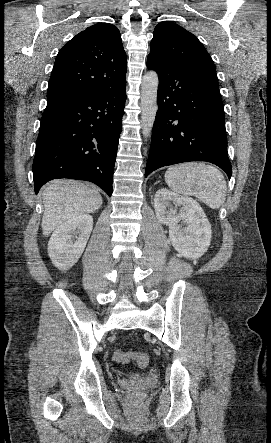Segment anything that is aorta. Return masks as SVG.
<instances>
[{"mask_svg": "<svg viewBox=\"0 0 271 443\" xmlns=\"http://www.w3.org/2000/svg\"><path fill=\"white\" fill-rule=\"evenodd\" d=\"M159 78L157 72H146L141 84V122L144 138H150L154 126L158 106L157 92Z\"/></svg>", "mask_w": 271, "mask_h": 443, "instance_id": "762f6f07", "label": "aorta"}]
</instances>
